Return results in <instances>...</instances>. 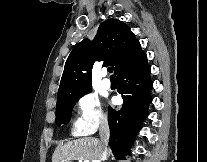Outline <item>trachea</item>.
<instances>
[{
	"label": "trachea",
	"instance_id": "1",
	"mask_svg": "<svg viewBox=\"0 0 207 162\" xmlns=\"http://www.w3.org/2000/svg\"><path fill=\"white\" fill-rule=\"evenodd\" d=\"M108 72H109V73H112V72H113L112 67H109V68H108ZM111 79H114V76H113V75L111 76Z\"/></svg>",
	"mask_w": 207,
	"mask_h": 162
}]
</instances>
